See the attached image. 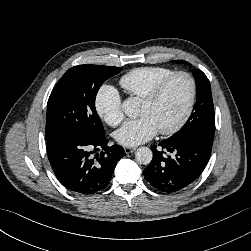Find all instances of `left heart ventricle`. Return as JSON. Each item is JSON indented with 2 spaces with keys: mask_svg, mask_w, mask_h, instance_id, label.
Here are the masks:
<instances>
[{
  "mask_svg": "<svg viewBox=\"0 0 251 251\" xmlns=\"http://www.w3.org/2000/svg\"><path fill=\"white\" fill-rule=\"evenodd\" d=\"M190 86L186 78L178 77L171 82L153 104L141 103L139 115L149 116L157 129L173 126L183 115L188 103Z\"/></svg>",
  "mask_w": 251,
  "mask_h": 251,
  "instance_id": "obj_1",
  "label": "left heart ventricle"
}]
</instances>
